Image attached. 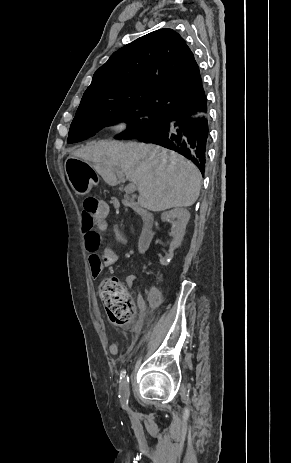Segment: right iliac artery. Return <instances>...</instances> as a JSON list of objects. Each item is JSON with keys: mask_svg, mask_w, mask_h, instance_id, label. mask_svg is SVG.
I'll use <instances>...</instances> for the list:
<instances>
[{"mask_svg": "<svg viewBox=\"0 0 291 463\" xmlns=\"http://www.w3.org/2000/svg\"><path fill=\"white\" fill-rule=\"evenodd\" d=\"M122 408L126 409L129 402V377L126 370H123L120 375V395Z\"/></svg>", "mask_w": 291, "mask_h": 463, "instance_id": "82829eb1", "label": "right iliac artery"}]
</instances>
